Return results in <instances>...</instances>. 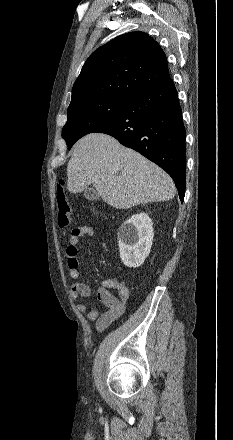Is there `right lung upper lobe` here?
<instances>
[{
	"instance_id": "obj_1",
	"label": "right lung upper lobe",
	"mask_w": 233,
	"mask_h": 440,
	"mask_svg": "<svg viewBox=\"0 0 233 440\" xmlns=\"http://www.w3.org/2000/svg\"><path fill=\"white\" fill-rule=\"evenodd\" d=\"M168 79L158 43L143 32L126 33L90 55L73 85L70 104L95 97L129 100Z\"/></svg>"
}]
</instances>
